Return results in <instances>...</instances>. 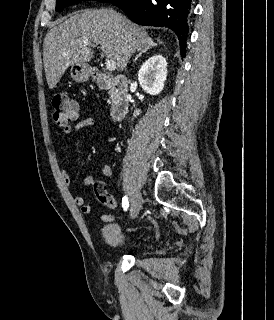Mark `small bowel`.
Wrapping results in <instances>:
<instances>
[{
  "instance_id": "obj_1",
  "label": "small bowel",
  "mask_w": 274,
  "mask_h": 320,
  "mask_svg": "<svg viewBox=\"0 0 274 320\" xmlns=\"http://www.w3.org/2000/svg\"><path fill=\"white\" fill-rule=\"evenodd\" d=\"M93 125V120L90 117H83L79 119L74 125H69L64 129V133L67 136L73 135L75 133L80 132L83 129L89 128ZM60 174L62 178V182L66 187L71 185V177L65 166H62L60 169ZM112 174V168L109 163H105L102 169L96 175L86 176L83 180V184L85 186L93 185L95 182H98L100 179L109 177ZM75 205L81 208V212L85 215H90L93 212V207L91 204L85 202V198L82 195L74 196ZM104 222H112L114 220L111 215H103L101 217Z\"/></svg>"
}]
</instances>
